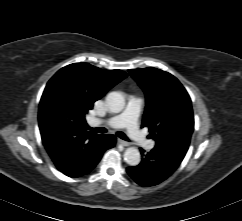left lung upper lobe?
I'll use <instances>...</instances> for the list:
<instances>
[{"mask_svg": "<svg viewBox=\"0 0 242 221\" xmlns=\"http://www.w3.org/2000/svg\"><path fill=\"white\" fill-rule=\"evenodd\" d=\"M146 95L142 127H148L155 147L184 158L194 118L191 99L182 84L170 73L156 69H130Z\"/></svg>", "mask_w": 242, "mask_h": 221, "instance_id": "left-lung-upper-lobe-1", "label": "left lung upper lobe"}]
</instances>
